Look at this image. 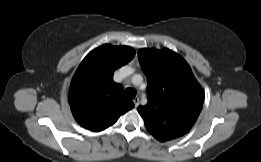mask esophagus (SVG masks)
Returning <instances> with one entry per match:
<instances>
[{"label":"esophagus","mask_w":261,"mask_h":162,"mask_svg":"<svg viewBox=\"0 0 261 162\" xmlns=\"http://www.w3.org/2000/svg\"><path fill=\"white\" fill-rule=\"evenodd\" d=\"M133 103H134L135 107L137 108V107L139 106V98H138V97H135V98L133 99Z\"/></svg>","instance_id":"esophagus-1"}]
</instances>
